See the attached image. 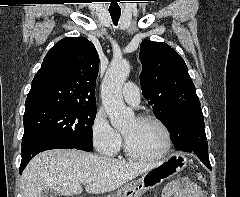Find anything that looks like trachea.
Instances as JSON below:
<instances>
[{"label":"trachea","instance_id":"trachea-1","mask_svg":"<svg viewBox=\"0 0 240 197\" xmlns=\"http://www.w3.org/2000/svg\"><path fill=\"white\" fill-rule=\"evenodd\" d=\"M110 15H111L114 25H117L121 13L120 12H110Z\"/></svg>","mask_w":240,"mask_h":197}]
</instances>
